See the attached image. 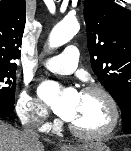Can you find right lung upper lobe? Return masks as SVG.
<instances>
[{
	"instance_id": "1",
	"label": "right lung upper lobe",
	"mask_w": 131,
	"mask_h": 151,
	"mask_svg": "<svg viewBox=\"0 0 131 151\" xmlns=\"http://www.w3.org/2000/svg\"><path fill=\"white\" fill-rule=\"evenodd\" d=\"M25 0L0 1V67H17L25 27Z\"/></svg>"
}]
</instances>
